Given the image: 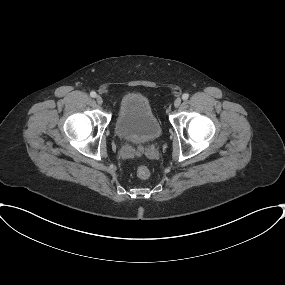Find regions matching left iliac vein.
<instances>
[{
	"mask_svg": "<svg viewBox=\"0 0 285 285\" xmlns=\"http://www.w3.org/2000/svg\"><path fill=\"white\" fill-rule=\"evenodd\" d=\"M181 104V98H177L175 101H174V106L175 107H179Z\"/></svg>",
	"mask_w": 285,
	"mask_h": 285,
	"instance_id": "left-iliac-vein-1",
	"label": "left iliac vein"
}]
</instances>
